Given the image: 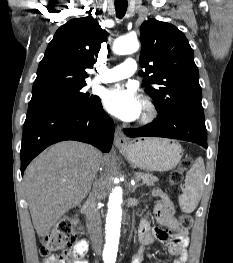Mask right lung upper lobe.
Here are the masks:
<instances>
[{
  "instance_id": "cb5924a9",
  "label": "right lung upper lobe",
  "mask_w": 233,
  "mask_h": 263,
  "mask_svg": "<svg viewBox=\"0 0 233 263\" xmlns=\"http://www.w3.org/2000/svg\"><path fill=\"white\" fill-rule=\"evenodd\" d=\"M107 33L92 16L61 26L39 63L32 96L86 84L84 71L93 68Z\"/></svg>"
}]
</instances>
